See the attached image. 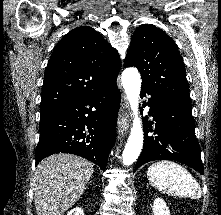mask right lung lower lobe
I'll use <instances>...</instances> for the list:
<instances>
[{
  "instance_id": "right-lung-lower-lobe-1",
  "label": "right lung lower lobe",
  "mask_w": 221,
  "mask_h": 215,
  "mask_svg": "<svg viewBox=\"0 0 221 215\" xmlns=\"http://www.w3.org/2000/svg\"><path fill=\"white\" fill-rule=\"evenodd\" d=\"M121 101L116 81L56 109L41 112L36 165L55 153L84 157L103 171L115 140Z\"/></svg>"
}]
</instances>
